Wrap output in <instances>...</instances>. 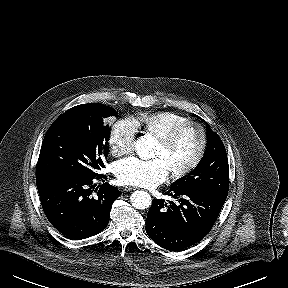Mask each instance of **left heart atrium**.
Returning a JSON list of instances; mask_svg holds the SVG:
<instances>
[{
  "label": "left heart atrium",
  "instance_id": "39dd6f15",
  "mask_svg": "<svg viewBox=\"0 0 288 288\" xmlns=\"http://www.w3.org/2000/svg\"><path fill=\"white\" fill-rule=\"evenodd\" d=\"M115 173L120 183L139 187H154L166 180L169 169L164 159H140L128 157L115 165Z\"/></svg>",
  "mask_w": 288,
  "mask_h": 288
}]
</instances>
